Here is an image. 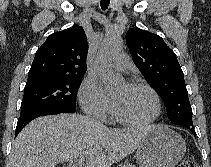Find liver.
Returning <instances> with one entry per match:
<instances>
[{"label":"liver","mask_w":211,"mask_h":167,"mask_svg":"<svg viewBox=\"0 0 211 167\" xmlns=\"http://www.w3.org/2000/svg\"><path fill=\"white\" fill-rule=\"evenodd\" d=\"M153 127L112 129L79 114L39 117L15 139L9 167H56L76 158L86 167H110L134 152Z\"/></svg>","instance_id":"1"}]
</instances>
